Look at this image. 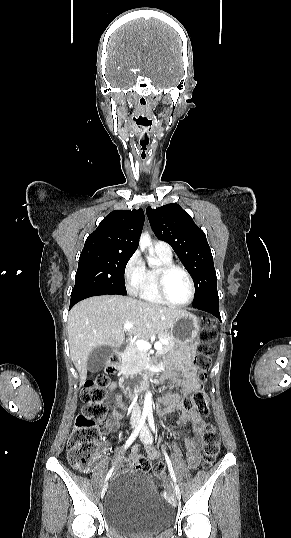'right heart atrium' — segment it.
Segmentation results:
<instances>
[{"label": "right heart atrium", "instance_id": "d8ad5b80", "mask_svg": "<svg viewBox=\"0 0 291 538\" xmlns=\"http://www.w3.org/2000/svg\"><path fill=\"white\" fill-rule=\"evenodd\" d=\"M145 274V265L138 251H135L126 261L123 276L126 288L131 294H138Z\"/></svg>", "mask_w": 291, "mask_h": 538}]
</instances>
